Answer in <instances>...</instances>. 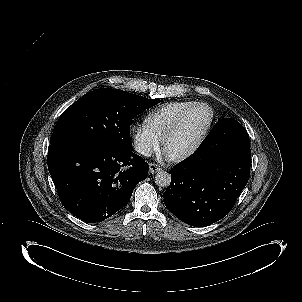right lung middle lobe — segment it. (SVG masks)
I'll list each match as a JSON object with an SVG mask.
<instances>
[{
    "mask_svg": "<svg viewBox=\"0 0 302 302\" xmlns=\"http://www.w3.org/2000/svg\"><path fill=\"white\" fill-rule=\"evenodd\" d=\"M159 102L118 89L88 92L60 115L50 143L99 140L133 149L130 142L132 119Z\"/></svg>",
    "mask_w": 302,
    "mask_h": 302,
    "instance_id": "right-lung-middle-lobe-1",
    "label": "right lung middle lobe"
}]
</instances>
